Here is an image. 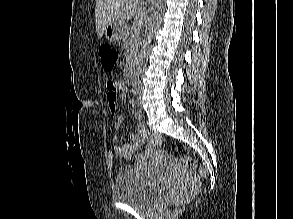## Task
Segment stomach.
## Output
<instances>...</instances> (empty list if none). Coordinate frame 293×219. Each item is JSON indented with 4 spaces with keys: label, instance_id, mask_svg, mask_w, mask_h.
Listing matches in <instances>:
<instances>
[{
    "label": "stomach",
    "instance_id": "obj_1",
    "mask_svg": "<svg viewBox=\"0 0 293 219\" xmlns=\"http://www.w3.org/2000/svg\"><path fill=\"white\" fill-rule=\"evenodd\" d=\"M125 31L126 26L124 24L113 22L105 28L104 35L108 41L117 42L123 38Z\"/></svg>",
    "mask_w": 293,
    "mask_h": 219
}]
</instances>
